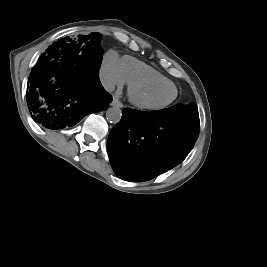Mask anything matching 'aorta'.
<instances>
[{"label": "aorta", "mask_w": 267, "mask_h": 267, "mask_svg": "<svg viewBox=\"0 0 267 267\" xmlns=\"http://www.w3.org/2000/svg\"><path fill=\"white\" fill-rule=\"evenodd\" d=\"M122 111L119 107H110L106 111V119L112 123H118L121 120Z\"/></svg>", "instance_id": "1"}]
</instances>
